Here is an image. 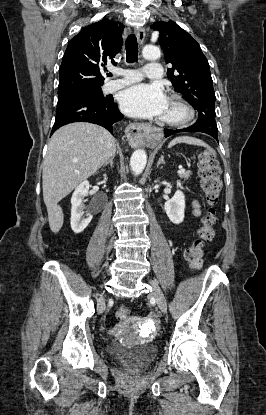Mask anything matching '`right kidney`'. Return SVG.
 <instances>
[{
  "mask_svg": "<svg viewBox=\"0 0 266 415\" xmlns=\"http://www.w3.org/2000/svg\"><path fill=\"white\" fill-rule=\"evenodd\" d=\"M89 192V182H81L75 189L71 198V228L75 233H81L88 226L92 220V215L83 217V210L85 205L83 204V199L88 195Z\"/></svg>",
  "mask_w": 266,
  "mask_h": 415,
  "instance_id": "1",
  "label": "right kidney"
}]
</instances>
